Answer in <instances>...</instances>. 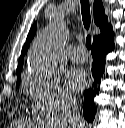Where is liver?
Returning a JSON list of instances; mask_svg holds the SVG:
<instances>
[{"mask_svg": "<svg viewBox=\"0 0 125 128\" xmlns=\"http://www.w3.org/2000/svg\"><path fill=\"white\" fill-rule=\"evenodd\" d=\"M81 121H82V125H81V126L83 127L84 122H83L82 119H81ZM66 123H67V120H63V121H62V124H66ZM53 125H54V126H59V125H61V124H60V119L55 118L54 121H53V124H52L51 126H53Z\"/></svg>", "mask_w": 125, "mask_h": 128, "instance_id": "1", "label": "liver"}]
</instances>
